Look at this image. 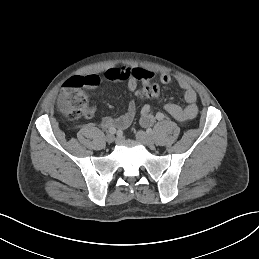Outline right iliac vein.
Wrapping results in <instances>:
<instances>
[{
  "instance_id": "1",
  "label": "right iliac vein",
  "mask_w": 259,
  "mask_h": 259,
  "mask_svg": "<svg viewBox=\"0 0 259 259\" xmlns=\"http://www.w3.org/2000/svg\"><path fill=\"white\" fill-rule=\"evenodd\" d=\"M114 140H115V136L113 134H111V133L107 134L106 141L108 143H112Z\"/></svg>"
}]
</instances>
